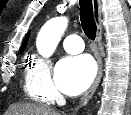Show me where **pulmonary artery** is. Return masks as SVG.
Segmentation results:
<instances>
[{
    "label": "pulmonary artery",
    "instance_id": "e3ab8cb5",
    "mask_svg": "<svg viewBox=\"0 0 131 115\" xmlns=\"http://www.w3.org/2000/svg\"><path fill=\"white\" fill-rule=\"evenodd\" d=\"M63 46L66 52L70 54H77L84 50L83 40L81 37L74 34L65 37Z\"/></svg>",
    "mask_w": 131,
    "mask_h": 115
}]
</instances>
